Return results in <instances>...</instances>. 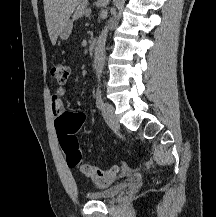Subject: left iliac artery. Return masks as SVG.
Listing matches in <instances>:
<instances>
[{
  "mask_svg": "<svg viewBox=\"0 0 216 217\" xmlns=\"http://www.w3.org/2000/svg\"><path fill=\"white\" fill-rule=\"evenodd\" d=\"M100 76H98V85L96 89V94H95V99H96V105L99 109L102 108L103 106V99H102V94H101V89H100Z\"/></svg>",
  "mask_w": 216,
  "mask_h": 217,
  "instance_id": "44dca946",
  "label": "left iliac artery"
}]
</instances>
